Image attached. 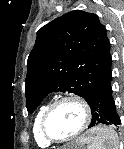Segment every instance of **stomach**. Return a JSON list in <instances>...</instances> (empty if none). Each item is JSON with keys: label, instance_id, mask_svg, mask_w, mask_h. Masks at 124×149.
Wrapping results in <instances>:
<instances>
[{"label": "stomach", "instance_id": "obj_1", "mask_svg": "<svg viewBox=\"0 0 124 149\" xmlns=\"http://www.w3.org/2000/svg\"><path fill=\"white\" fill-rule=\"evenodd\" d=\"M97 128L92 129L90 131H88L84 136H82L79 140H77L75 143L67 146L64 149H84L82 147L85 146V144L87 143V139L92 137L95 133H96Z\"/></svg>", "mask_w": 124, "mask_h": 149}]
</instances>
